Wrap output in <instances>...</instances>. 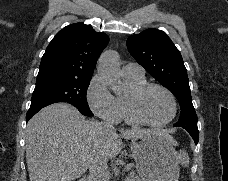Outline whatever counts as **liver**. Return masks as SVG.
Instances as JSON below:
<instances>
[{"mask_svg":"<svg viewBox=\"0 0 228 181\" xmlns=\"http://www.w3.org/2000/svg\"><path fill=\"white\" fill-rule=\"evenodd\" d=\"M116 131H105L102 123L86 121L69 103L45 107L28 121L25 129L29 181H75L89 169L94 153L107 161L115 159L122 149L121 137ZM144 133H163L170 137L163 129L121 131L128 141ZM171 141L177 145L172 137Z\"/></svg>","mask_w":228,"mask_h":181,"instance_id":"obj_1","label":"liver"}]
</instances>
